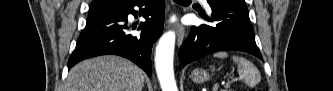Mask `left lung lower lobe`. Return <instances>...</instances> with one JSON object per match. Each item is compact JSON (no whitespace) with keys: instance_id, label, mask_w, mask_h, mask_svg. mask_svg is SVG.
I'll return each instance as SVG.
<instances>
[{"instance_id":"obj_1","label":"left lung lower lobe","mask_w":333,"mask_h":91,"mask_svg":"<svg viewBox=\"0 0 333 91\" xmlns=\"http://www.w3.org/2000/svg\"><path fill=\"white\" fill-rule=\"evenodd\" d=\"M208 3L212 17H203L216 24L191 28L179 52L181 64L191 63L216 51H243L262 59L245 1L212 0Z\"/></svg>"}]
</instances>
